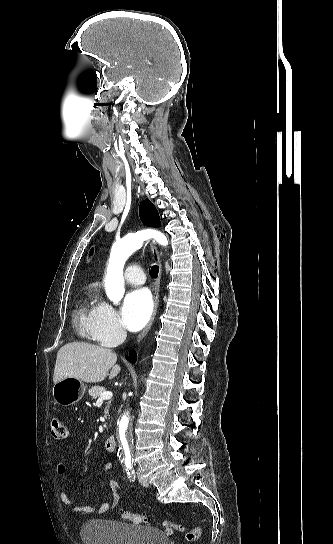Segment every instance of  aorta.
<instances>
[{
  "label": "aorta",
  "instance_id": "obj_1",
  "mask_svg": "<svg viewBox=\"0 0 333 544\" xmlns=\"http://www.w3.org/2000/svg\"><path fill=\"white\" fill-rule=\"evenodd\" d=\"M149 238H154L159 244L164 246L168 244L167 238L161 232L143 230L125 236L123 239L115 242L112 246L105 277V291L109 300L114 304H118L121 301L125 292L123 279L125 262L142 246L143 242ZM118 438L125 455L131 459L133 433L127 414H124L119 422Z\"/></svg>",
  "mask_w": 333,
  "mask_h": 544
}]
</instances>
